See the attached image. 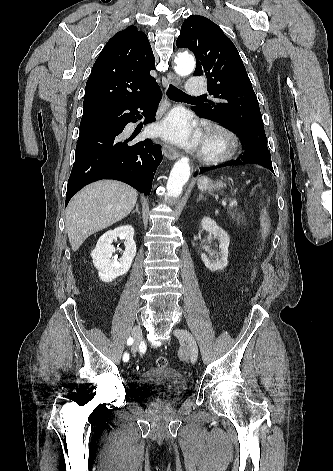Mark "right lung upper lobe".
<instances>
[{
    "label": "right lung upper lobe",
    "instance_id": "right-lung-upper-lobe-1",
    "mask_svg": "<svg viewBox=\"0 0 333 471\" xmlns=\"http://www.w3.org/2000/svg\"><path fill=\"white\" fill-rule=\"evenodd\" d=\"M154 69L155 58L145 33L133 25L117 32L93 65L82 118L148 94L158 87L150 75Z\"/></svg>",
    "mask_w": 333,
    "mask_h": 471
}]
</instances>
